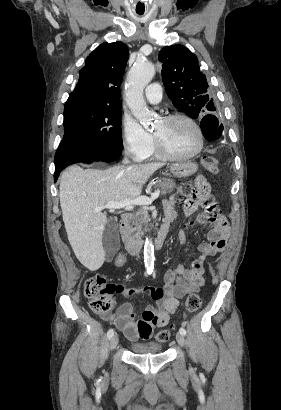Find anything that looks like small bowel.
Returning <instances> with one entry per match:
<instances>
[{"instance_id":"c3829d8e","label":"small bowel","mask_w":281,"mask_h":410,"mask_svg":"<svg viewBox=\"0 0 281 410\" xmlns=\"http://www.w3.org/2000/svg\"><path fill=\"white\" fill-rule=\"evenodd\" d=\"M210 185L203 176L196 178L195 190L190 195L177 194L163 202L165 214L164 224L168 226L176 219L175 206L182 205L187 217L192 216L200 205V199L209 194ZM210 224L207 240L198 245L199 256L190 266L178 263L167 271L162 287H145L142 289L127 288L116 285L115 294L127 297L148 295L155 301V305H147L142 319L135 320L134 308L130 303H123L118 311L111 316L112 322L123 332L130 341L149 340L154 328L166 325L179 306V300L186 295L196 292L204 284L203 262L208 256L223 252L230 229L223 216L211 217L207 213H200L190 219L178 236L181 245L187 242L186 231H191L195 226Z\"/></svg>"}]
</instances>
